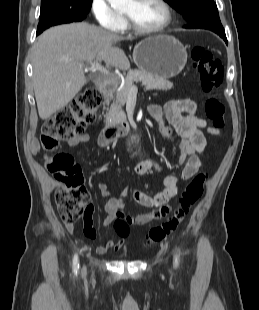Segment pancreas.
<instances>
[{"mask_svg": "<svg viewBox=\"0 0 259 310\" xmlns=\"http://www.w3.org/2000/svg\"><path fill=\"white\" fill-rule=\"evenodd\" d=\"M134 82H142L148 90L167 91L173 87V83L162 78L152 76L139 70L129 71L127 77L125 78L124 85L120 90L116 91V97H111L113 102L104 115L106 124L113 125L126 122V115L122 110V107L127 101L130 93V87L133 86Z\"/></svg>", "mask_w": 259, "mask_h": 310, "instance_id": "obj_1", "label": "pancreas"}]
</instances>
